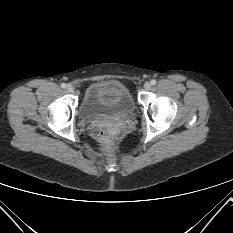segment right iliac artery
Wrapping results in <instances>:
<instances>
[{"mask_svg":"<svg viewBox=\"0 0 233 233\" xmlns=\"http://www.w3.org/2000/svg\"><path fill=\"white\" fill-rule=\"evenodd\" d=\"M66 86H67V85H66L65 83H62V84H61V87H62L63 89H65Z\"/></svg>","mask_w":233,"mask_h":233,"instance_id":"right-iliac-artery-1","label":"right iliac artery"}]
</instances>
